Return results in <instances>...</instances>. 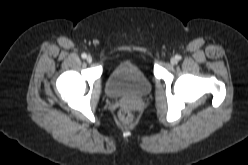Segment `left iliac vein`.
Here are the masks:
<instances>
[{
	"label": "left iliac vein",
	"mask_w": 248,
	"mask_h": 165,
	"mask_svg": "<svg viewBox=\"0 0 248 165\" xmlns=\"http://www.w3.org/2000/svg\"><path fill=\"white\" fill-rule=\"evenodd\" d=\"M176 63H177V60H176L175 58H172V59H171V64L174 65V64H176Z\"/></svg>",
	"instance_id": "4c4485c4"
}]
</instances>
